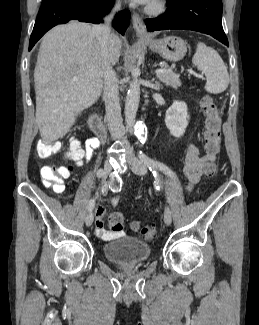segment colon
Masks as SVG:
<instances>
[{
	"mask_svg": "<svg viewBox=\"0 0 259 325\" xmlns=\"http://www.w3.org/2000/svg\"><path fill=\"white\" fill-rule=\"evenodd\" d=\"M201 107L205 114V132L204 145L207 153H215L219 149L220 144V117L218 108L212 97L205 95L200 101ZM62 149V144L59 141L45 142L40 141L37 144V153L42 158L51 157L53 154ZM81 155V146L78 141L71 142L67 151V156L75 160ZM72 171L71 165L48 167L41 171L42 182L46 187L51 188L55 192H62L64 189V180L69 177ZM216 171V166L210 163L205 168V174L212 176ZM124 218L119 212L112 214L108 220L109 229L112 232L119 233L123 230ZM131 229L135 232H140L144 240H152L155 237V229L151 226L142 225L139 221L131 223Z\"/></svg>",
	"mask_w": 259,
	"mask_h": 325,
	"instance_id": "1",
	"label": "colon"
}]
</instances>
